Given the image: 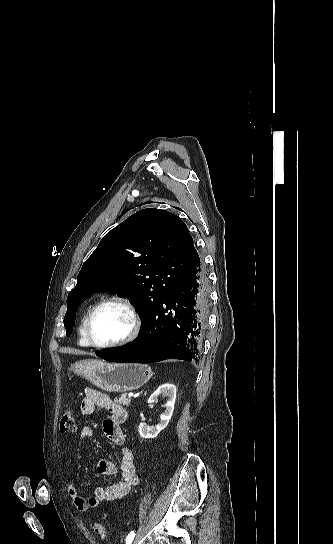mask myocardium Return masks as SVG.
Here are the masks:
<instances>
[{"label":"myocardium","instance_id":"myocardium-1","mask_svg":"<svg viewBox=\"0 0 333 544\" xmlns=\"http://www.w3.org/2000/svg\"><path fill=\"white\" fill-rule=\"evenodd\" d=\"M108 303H119L123 305L128 310L131 316L132 325L129 333L124 338L112 343L100 344L95 342L92 337L91 324L94 316L99 311V309ZM141 327L142 319L134 302L130 298L123 295H111L101 299L90 309L85 320L84 332L86 340L88 341L90 346L97 349H111L124 346L135 340L140 333Z\"/></svg>","mask_w":333,"mask_h":544}]
</instances>
